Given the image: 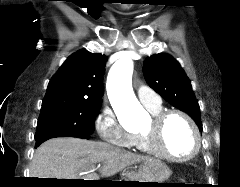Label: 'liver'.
I'll return each mask as SVG.
<instances>
[{
  "label": "liver",
  "mask_w": 240,
  "mask_h": 187,
  "mask_svg": "<svg viewBox=\"0 0 240 187\" xmlns=\"http://www.w3.org/2000/svg\"><path fill=\"white\" fill-rule=\"evenodd\" d=\"M148 160L151 158L107 143L58 137L47 140L35 151L30 178L79 179L80 173H86L85 180H94L88 178H97L89 173L96 164L100 165L101 176L108 177L132 164Z\"/></svg>",
  "instance_id": "1"
}]
</instances>
